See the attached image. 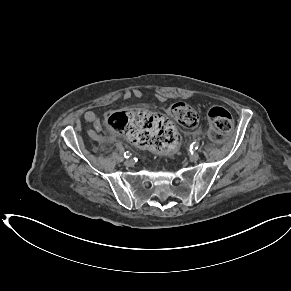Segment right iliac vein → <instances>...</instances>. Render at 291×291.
<instances>
[{
	"instance_id": "right-iliac-vein-1",
	"label": "right iliac vein",
	"mask_w": 291,
	"mask_h": 291,
	"mask_svg": "<svg viewBox=\"0 0 291 291\" xmlns=\"http://www.w3.org/2000/svg\"><path fill=\"white\" fill-rule=\"evenodd\" d=\"M124 164H125L127 167H132V166L134 165V162H133V160L128 159V160L125 161Z\"/></svg>"
}]
</instances>
